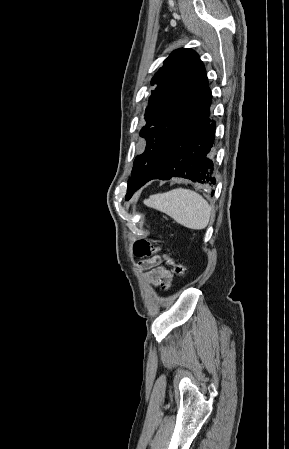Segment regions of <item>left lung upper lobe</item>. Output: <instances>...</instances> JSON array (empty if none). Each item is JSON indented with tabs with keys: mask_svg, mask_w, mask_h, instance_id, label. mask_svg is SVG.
Returning <instances> with one entry per match:
<instances>
[{
	"mask_svg": "<svg viewBox=\"0 0 289 449\" xmlns=\"http://www.w3.org/2000/svg\"><path fill=\"white\" fill-rule=\"evenodd\" d=\"M151 84H156L157 88L149 98L145 112L146 126L140 132L147 144L144 153L134 161L126 199L144 181L161 172L166 137L194 112L208 87V80L198 54L192 49L181 48L164 60Z\"/></svg>",
	"mask_w": 289,
	"mask_h": 449,
	"instance_id": "1",
	"label": "left lung upper lobe"
}]
</instances>
